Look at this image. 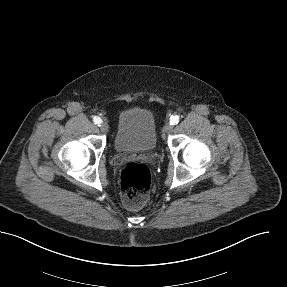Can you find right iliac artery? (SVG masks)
<instances>
[{"label":"right iliac artery","instance_id":"obj_1","mask_svg":"<svg viewBox=\"0 0 287 287\" xmlns=\"http://www.w3.org/2000/svg\"><path fill=\"white\" fill-rule=\"evenodd\" d=\"M93 122H94L96 125L100 126V124L102 123V120H101L100 117L95 116V117L93 118Z\"/></svg>","mask_w":287,"mask_h":287}]
</instances>
